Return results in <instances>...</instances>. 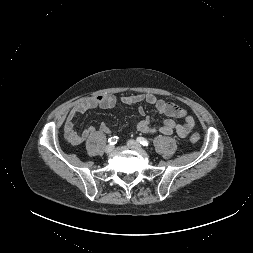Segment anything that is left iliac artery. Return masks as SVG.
Listing matches in <instances>:
<instances>
[{
    "instance_id": "1",
    "label": "left iliac artery",
    "mask_w": 253,
    "mask_h": 253,
    "mask_svg": "<svg viewBox=\"0 0 253 253\" xmlns=\"http://www.w3.org/2000/svg\"><path fill=\"white\" fill-rule=\"evenodd\" d=\"M137 142L140 143L143 146H149L150 145V142L144 137H138Z\"/></svg>"
}]
</instances>
